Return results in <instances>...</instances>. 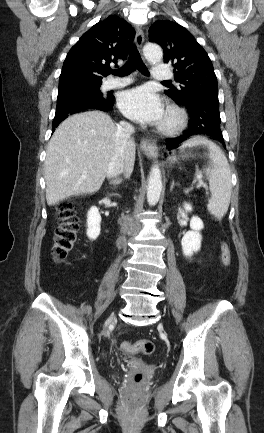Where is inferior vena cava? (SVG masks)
<instances>
[{
  "mask_svg": "<svg viewBox=\"0 0 264 433\" xmlns=\"http://www.w3.org/2000/svg\"><path fill=\"white\" fill-rule=\"evenodd\" d=\"M134 127L126 122L121 121L117 125L116 139H117V151L109 165L107 171V177L113 178L123 173L124 171V154L127 149V144L131 139V134L134 133Z\"/></svg>",
  "mask_w": 264,
  "mask_h": 433,
  "instance_id": "1",
  "label": "inferior vena cava"
}]
</instances>
